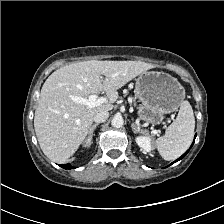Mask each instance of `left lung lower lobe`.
<instances>
[{"label": "left lung lower lobe", "instance_id": "obj_1", "mask_svg": "<svg viewBox=\"0 0 224 224\" xmlns=\"http://www.w3.org/2000/svg\"><path fill=\"white\" fill-rule=\"evenodd\" d=\"M192 145H193V144H192ZM192 145H191V147H192ZM188 151H189V150H187V151H186V152H185L179 159H177L176 161L182 159V158L188 153ZM176 161H175V162H176Z\"/></svg>", "mask_w": 224, "mask_h": 224}]
</instances>
